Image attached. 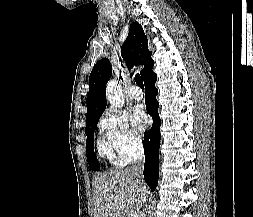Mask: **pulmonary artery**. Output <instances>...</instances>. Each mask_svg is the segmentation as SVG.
Instances as JSON below:
<instances>
[{"label":"pulmonary artery","mask_w":253,"mask_h":217,"mask_svg":"<svg viewBox=\"0 0 253 217\" xmlns=\"http://www.w3.org/2000/svg\"><path fill=\"white\" fill-rule=\"evenodd\" d=\"M130 94L135 100H141L144 96L142 90L136 85L131 87Z\"/></svg>","instance_id":"1"}]
</instances>
